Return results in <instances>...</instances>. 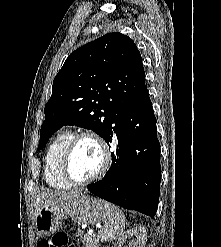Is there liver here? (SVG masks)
Masks as SVG:
<instances>
[{
	"instance_id": "liver-1",
	"label": "liver",
	"mask_w": 221,
	"mask_h": 247,
	"mask_svg": "<svg viewBox=\"0 0 221 247\" xmlns=\"http://www.w3.org/2000/svg\"><path fill=\"white\" fill-rule=\"evenodd\" d=\"M80 190H71V191H43L36 196L35 200V215L42 206H56L62 204L80 194Z\"/></svg>"
}]
</instances>
